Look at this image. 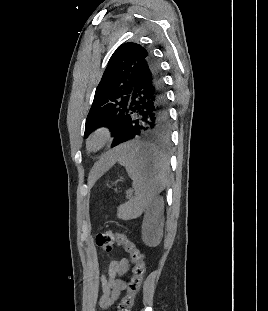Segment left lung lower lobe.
Returning <instances> with one entry per match:
<instances>
[{"mask_svg": "<svg viewBox=\"0 0 268 311\" xmlns=\"http://www.w3.org/2000/svg\"><path fill=\"white\" fill-rule=\"evenodd\" d=\"M169 126L161 68L150 55L139 66L127 114L111 147L123 140L167 141Z\"/></svg>", "mask_w": 268, "mask_h": 311, "instance_id": "0a47b994", "label": "left lung lower lobe"}]
</instances>
